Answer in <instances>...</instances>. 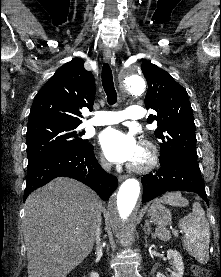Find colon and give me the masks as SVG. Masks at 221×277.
<instances>
[{
  "mask_svg": "<svg viewBox=\"0 0 221 277\" xmlns=\"http://www.w3.org/2000/svg\"><path fill=\"white\" fill-rule=\"evenodd\" d=\"M193 272L196 275V277H209L208 271L199 266H194Z\"/></svg>",
  "mask_w": 221,
  "mask_h": 277,
  "instance_id": "colon-1",
  "label": "colon"
}]
</instances>
